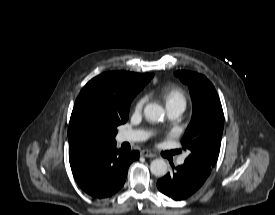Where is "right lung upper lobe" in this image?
Instances as JSON below:
<instances>
[{
    "label": "right lung upper lobe",
    "instance_id": "cb5924a9",
    "mask_svg": "<svg viewBox=\"0 0 275 215\" xmlns=\"http://www.w3.org/2000/svg\"><path fill=\"white\" fill-rule=\"evenodd\" d=\"M149 80V74L126 71L107 72L93 78L78 95L70 121L85 107H101L121 116ZM76 148L69 139V151Z\"/></svg>",
    "mask_w": 275,
    "mask_h": 215
}]
</instances>
